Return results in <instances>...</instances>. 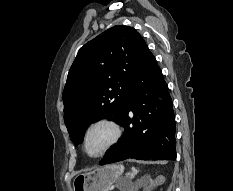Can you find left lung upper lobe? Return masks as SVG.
I'll return each mask as SVG.
<instances>
[{
	"label": "left lung upper lobe",
	"mask_w": 233,
	"mask_h": 191,
	"mask_svg": "<svg viewBox=\"0 0 233 191\" xmlns=\"http://www.w3.org/2000/svg\"><path fill=\"white\" fill-rule=\"evenodd\" d=\"M149 54L140 34L123 25L80 48L63 91L64 121L76 146L94 121L120 122L131 84Z\"/></svg>",
	"instance_id": "1"
}]
</instances>
